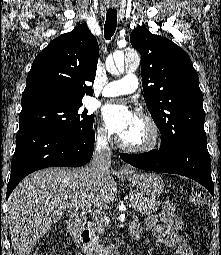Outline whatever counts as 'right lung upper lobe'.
I'll use <instances>...</instances> for the list:
<instances>
[{
	"label": "right lung upper lobe",
	"instance_id": "1",
	"mask_svg": "<svg viewBox=\"0 0 221 255\" xmlns=\"http://www.w3.org/2000/svg\"><path fill=\"white\" fill-rule=\"evenodd\" d=\"M99 47L88 27L81 24L52 40L34 59L22 95V109L42 104L82 102L92 96Z\"/></svg>",
	"mask_w": 221,
	"mask_h": 255
}]
</instances>
